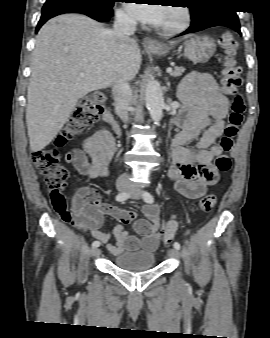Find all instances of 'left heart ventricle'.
<instances>
[{
  "label": "left heart ventricle",
  "mask_w": 270,
  "mask_h": 338,
  "mask_svg": "<svg viewBox=\"0 0 270 338\" xmlns=\"http://www.w3.org/2000/svg\"><path fill=\"white\" fill-rule=\"evenodd\" d=\"M180 20V13L176 8H167L163 12V16L157 26H171L178 23Z\"/></svg>",
  "instance_id": "b2bd125f"
}]
</instances>
